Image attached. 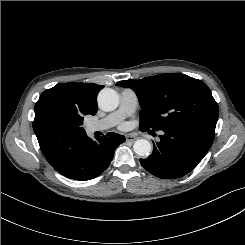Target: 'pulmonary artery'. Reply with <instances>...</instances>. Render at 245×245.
Wrapping results in <instances>:
<instances>
[{"mask_svg": "<svg viewBox=\"0 0 245 245\" xmlns=\"http://www.w3.org/2000/svg\"><path fill=\"white\" fill-rule=\"evenodd\" d=\"M137 105L138 98L135 92L131 89H124L120 95V105L118 109L102 119L89 122L86 126L87 132L94 133L104 131L116 126L131 115L136 110Z\"/></svg>", "mask_w": 245, "mask_h": 245, "instance_id": "e3ab8cb5", "label": "pulmonary artery"}]
</instances>
